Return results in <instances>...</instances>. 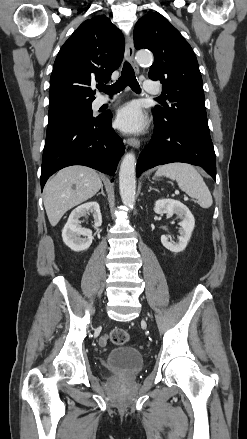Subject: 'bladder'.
Wrapping results in <instances>:
<instances>
[{
  "instance_id": "31cf9c89",
  "label": "bladder",
  "mask_w": 247,
  "mask_h": 439,
  "mask_svg": "<svg viewBox=\"0 0 247 439\" xmlns=\"http://www.w3.org/2000/svg\"><path fill=\"white\" fill-rule=\"evenodd\" d=\"M107 369L116 375H134L142 370L144 358L134 347H121L112 350L106 356Z\"/></svg>"
}]
</instances>
